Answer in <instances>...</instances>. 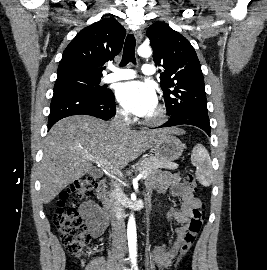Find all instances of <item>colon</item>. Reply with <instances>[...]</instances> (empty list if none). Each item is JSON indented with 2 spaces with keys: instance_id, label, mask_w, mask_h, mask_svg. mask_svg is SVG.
<instances>
[{
  "instance_id": "obj_1",
  "label": "colon",
  "mask_w": 267,
  "mask_h": 270,
  "mask_svg": "<svg viewBox=\"0 0 267 270\" xmlns=\"http://www.w3.org/2000/svg\"><path fill=\"white\" fill-rule=\"evenodd\" d=\"M184 183L194 192L198 191L195 177L192 173L185 176ZM96 182L91 177L81 178L72 183L70 188L62 194L58 201V208L54 213V225L59 233L65 249L79 259H83L90 252V236L81 218L76 204L92 197ZM205 218V209L200 205L194 210L187 231L179 250L178 262L191 250L199 235Z\"/></svg>"
}]
</instances>
